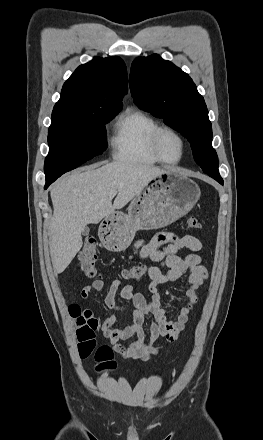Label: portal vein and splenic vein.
I'll use <instances>...</instances> for the list:
<instances>
[{
    "label": "portal vein and splenic vein",
    "instance_id": "portal-vein-and-splenic-vein-1",
    "mask_svg": "<svg viewBox=\"0 0 263 440\" xmlns=\"http://www.w3.org/2000/svg\"><path fill=\"white\" fill-rule=\"evenodd\" d=\"M116 194H117V192H111V193L109 194V197H110V198H114V197L116 196Z\"/></svg>",
    "mask_w": 263,
    "mask_h": 440
}]
</instances>
